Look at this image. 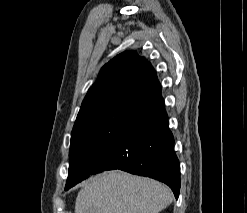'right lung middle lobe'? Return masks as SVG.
Returning <instances> with one entry per match:
<instances>
[{"mask_svg": "<svg viewBox=\"0 0 247 213\" xmlns=\"http://www.w3.org/2000/svg\"><path fill=\"white\" fill-rule=\"evenodd\" d=\"M130 108L131 103L117 105L73 128L65 190L95 173L100 155L116 139Z\"/></svg>", "mask_w": 247, "mask_h": 213, "instance_id": "right-lung-middle-lobe-1", "label": "right lung middle lobe"}]
</instances>
